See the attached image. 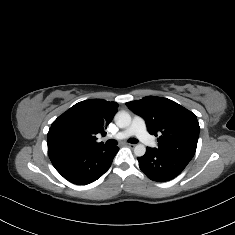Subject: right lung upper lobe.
Instances as JSON below:
<instances>
[{
    "mask_svg": "<svg viewBox=\"0 0 235 235\" xmlns=\"http://www.w3.org/2000/svg\"><path fill=\"white\" fill-rule=\"evenodd\" d=\"M118 104L102 99L79 102L59 116L51 125L48 147L57 148H97L102 142L97 134L105 135L104 129L112 121Z\"/></svg>",
    "mask_w": 235,
    "mask_h": 235,
    "instance_id": "1",
    "label": "right lung upper lobe"
}]
</instances>
